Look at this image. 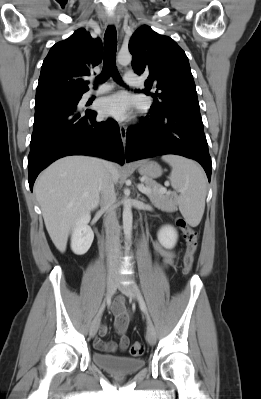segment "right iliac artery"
I'll list each match as a JSON object with an SVG mask.
<instances>
[{"instance_id":"obj_1","label":"right iliac artery","mask_w":261,"mask_h":399,"mask_svg":"<svg viewBox=\"0 0 261 399\" xmlns=\"http://www.w3.org/2000/svg\"><path fill=\"white\" fill-rule=\"evenodd\" d=\"M109 300H110V297H107V303L109 302ZM104 308H105V302H104L103 305L101 306L100 312H102V311L104 310Z\"/></svg>"}]
</instances>
